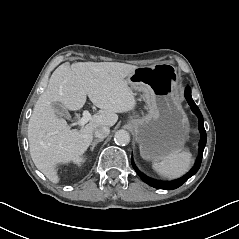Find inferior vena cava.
Masks as SVG:
<instances>
[{"label":"inferior vena cava","instance_id":"602c4592","mask_svg":"<svg viewBox=\"0 0 239 239\" xmlns=\"http://www.w3.org/2000/svg\"><path fill=\"white\" fill-rule=\"evenodd\" d=\"M110 133L108 126H98L94 129V136L100 139L106 138Z\"/></svg>","mask_w":239,"mask_h":239}]
</instances>
